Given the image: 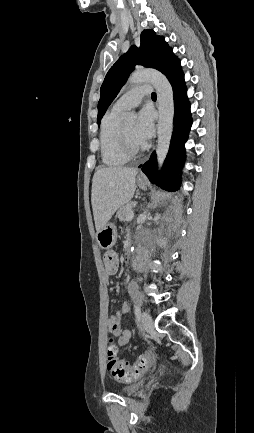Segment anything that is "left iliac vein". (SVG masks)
<instances>
[{
  "mask_svg": "<svg viewBox=\"0 0 254 433\" xmlns=\"http://www.w3.org/2000/svg\"><path fill=\"white\" fill-rule=\"evenodd\" d=\"M142 324H143L145 330L148 332L154 329L153 320L147 312H143Z\"/></svg>",
  "mask_w": 254,
  "mask_h": 433,
  "instance_id": "1",
  "label": "left iliac vein"
}]
</instances>
